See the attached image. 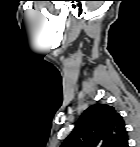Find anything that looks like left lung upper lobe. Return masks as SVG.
<instances>
[{
    "label": "left lung upper lobe",
    "mask_w": 140,
    "mask_h": 147,
    "mask_svg": "<svg viewBox=\"0 0 140 147\" xmlns=\"http://www.w3.org/2000/svg\"><path fill=\"white\" fill-rule=\"evenodd\" d=\"M127 147L128 135L122 116L114 107L95 104L84 111L61 147Z\"/></svg>",
    "instance_id": "1"
}]
</instances>
